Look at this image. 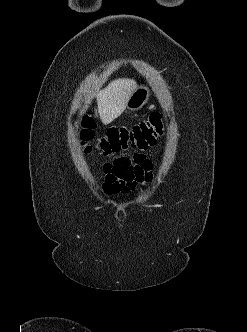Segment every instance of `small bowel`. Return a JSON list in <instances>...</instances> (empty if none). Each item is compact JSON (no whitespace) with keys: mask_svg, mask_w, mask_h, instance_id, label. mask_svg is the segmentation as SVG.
I'll list each match as a JSON object with an SVG mask.
<instances>
[{"mask_svg":"<svg viewBox=\"0 0 247 332\" xmlns=\"http://www.w3.org/2000/svg\"><path fill=\"white\" fill-rule=\"evenodd\" d=\"M103 190L107 194H127L152 179V162L142 153L121 157L104 166Z\"/></svg>","mask_w":247,"mask_h":332,"instance_id":"1","label":"small bowel"}]
</instances>
